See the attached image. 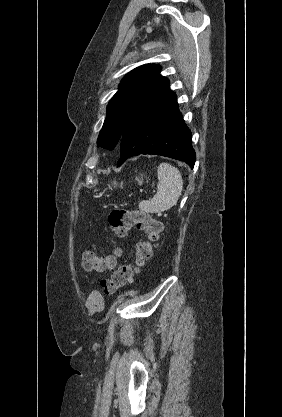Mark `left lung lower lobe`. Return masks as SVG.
I'll return each mask as SVG.
<instances>
[{"label":"left lung lower lobe","mask_w":282,"mask_h":417,"mask_svg":"<svg viewBox=\"0 0 282 417\" xmlns=\"http://www.w3.org/2000/svg\"><path fill=\"white\" fill-rule=\"evenodd\" d=\"M118 145L121 157L117 166L139 154H154L184 161L193 168L196 156L191 131L167 78L131 113Z\"/></svg>","instance_id":"left-lung-lower-lobe-1"}]
</instances>
